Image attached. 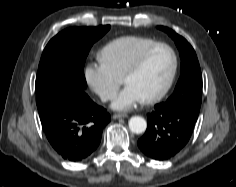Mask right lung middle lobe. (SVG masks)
Instances as JSON below:
<instances>
[{
  "instance_id": "obj_1",
  "label": "right lung middle lobe",
  "mask_w": 236,
  "mask_h": 187,
  "mask_svg": "<svg viewBox=\"0 0 236 187\" xmlns=\"http://www.w3.org/2000/svg\"><path fill=\"white\" fill-rule=\"evenodd\" d=\"M110 25L71 27L53 37L45 47L35 82L36 103L42 108L47 97L56 90H81L87 87L84 64L93 43Z\"/></svg>"
}]
</instances>
